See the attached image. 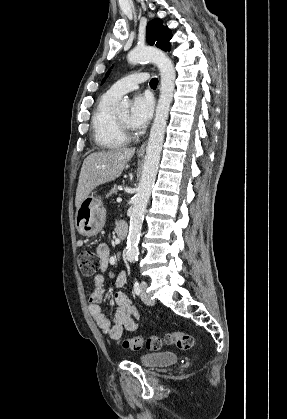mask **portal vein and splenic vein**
<instances>
[{"label": "portal vein and splenic vein", "mask_w": 287, "mask_h": 419, "mask_svg": "<svg viewBox=\"0 0 287 419\" xmlns=\"http://www.w3.org/2000/svg\"><path fill=\"white\" fill-rule=\"evenodd\" d=\"M122 199L120 197L117 198V202L120 203Z\"/></svg>", "instance_id": "obj_1"}]
</instances>
